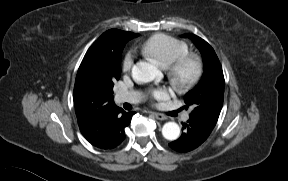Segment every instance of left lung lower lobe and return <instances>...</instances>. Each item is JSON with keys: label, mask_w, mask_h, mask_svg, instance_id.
I'll use <instances>...</instances> for the list:
<instances>
[{"label": "left lung lower lobe", "mask_w": 288, "mask_h": 181, "mask_svg": "<svg viewBox=\"0 0 288 181\" xmlns=\"http://www.w3.org/2000/svg\"><path fill=\"white\" fill-rule=\"evenodd\" d=\"M183 133L179 139L171 142L169 146L178 152H189L200 146L210 135L215 127L198 117H191L186 123H182Z\"/></svg>", "instance_id": "0a47b994"}]
</instances>
